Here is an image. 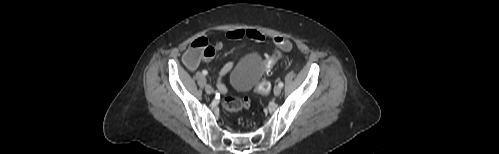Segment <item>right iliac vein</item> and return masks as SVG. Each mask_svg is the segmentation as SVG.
I'll use <instances>...</instances> for the list:
<instances>
[{"label": "right iliac vein", "instance_id": "63e3f726", "mask_svg": "<svg viewBox=\"0 0 499 154\" xmlns=\"http://www.w3.org/2000/svg\"><path fill=\"white\" fill-rule=\"evenodd\" d=\"M205 91H206L207 94H211L213 92V89H212V87L209 84H207L205 86Z\"/></svg>", "mask_w": 499, "mask_h": 154}]
</instances>
